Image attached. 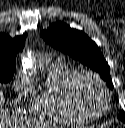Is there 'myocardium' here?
<instances>
[{
    "label": "myocardium",
    "mask_w": 125,
    "mask_h": 128,
    "mask_svg": "<svg viewBox=\"0 0 125 128\" xmlns=\"http://www.w3.org/2000/svg\"><path fill=\"white\" fill-rule=\"evenodd\" d=\"M86 81L95 85L104 97L103 108L99 112H93L89 110L85 106L80 96L79 89L81 85ZM68 96L75 109L87 119H98L105 115L109 109L111 98L110 93L108 92L102 80L97 75L90 72H79L72 78L68 85Z\"/></svg>",
    "instance_id": "f54148a6"
}]
</instances>
